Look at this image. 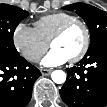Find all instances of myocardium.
I'll use <instances>...</instances> for the list:
<instances>
[{"label": "myocardium", "instance_id": "1", "mask_svg": "<svg viewBox=\"0 0 107 107\" xmlns=\"http://www.w3.org/2000/svg\"><path fill=\"white\" fill-rule=\"evenodd\" d=\"M80 25L84 29L85 32V41L84 44L81 48V50L72 58L69 59L71 63H75L80 61L88 52L90 44H91V32L88 24L79 19V18H74L72 20L67 21L64 23L52 36V38L49 41L50 47H52L53 43L60 39L73 25Z\"/></svg>", "mask_w": 107, "mask_h": 107}]
</instances>
